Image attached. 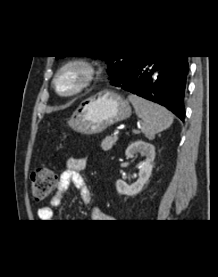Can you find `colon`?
<instances>
[{
  "mask_svg": "<svg viewBox=\"0 0 218 277\" xmlns=\"http://www.w3.org/2000/svg\"><path fill=\"white\" fill-rule=\"evenodd\" d=\"M32 194L36 200H44L50 196L57 184V175L47 167L33 171L31 175Z\"/></svg>",
  "mask_w": 218,
  "mask_h": 277,
  "instance_id": "colon-1",
  "label": "colon"
}]
</instances>
